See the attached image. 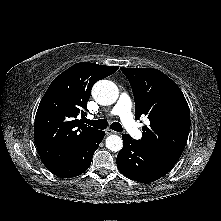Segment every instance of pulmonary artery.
<instances>
[{
  "mask_svg": "<svg viewBox=\"0 0 221 221\" xmlns=\"http://www.w3.org/2000/svg\"><path fill=\"white\" fill-rule=\"evenodd\" d=\"M112 115L119 116L123 127L134 139H140L142 131L134 120L132 114V102L127 94H121L119 100L111 110Z\"/></svg>",
  "mask_w": 221,
  "mask_h": 221,
  "instance_id": "pulmonary-artery-1",
  "label": "pulmonary artery"
}]
</instances>
